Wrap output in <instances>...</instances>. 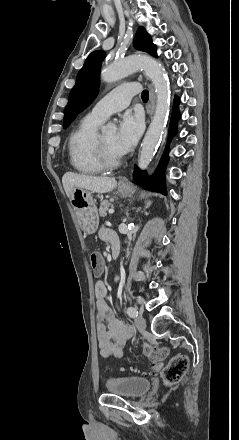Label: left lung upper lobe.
Wrapping results in <instances>:
<instances>
[{
    "label": "left lung upper lobe",
    "instance_id": "5c2ea615",
    "mask_svg": "<svg viewBox=\"0 0 239 440\" xmlns=\"http://www.w3.org/2000/svg\"><path fill=\"white\" fill-rule=\"evenodd\" d=\"M134 46L157 57L156 46L143 27H139L136 33ZM104 57L105 52L103 51L92 52L79 71L76 84L70 92L69 101L65 107L64 128H67L75 116L95 99L99 87V70Z\"/></svg>",
    "mask_w": 239,
    "mask_h": 440
}]
</instances>
